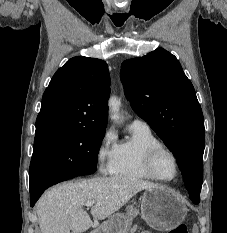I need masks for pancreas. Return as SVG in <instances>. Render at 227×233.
Returning a JSON list of instances; mask_svg holds the SVG:
<instances>
[{
    "instance_id": "cf45deb5",
    "label": "pancreas",
    "mask_w": 227,
    "mask_h": 233,
    "mask_svg": "<svg viewBox=\"0 0 227 233\" xmlns=\"http://www.w3.org/2000/svg\"><path fill=\"white\" fill-rule=\"evenodd\" d=\"M136 229H137V226H136V225L133 226V227L130 229V233H134V232L136 231Z\"/></svg>"
}]
</instances>
